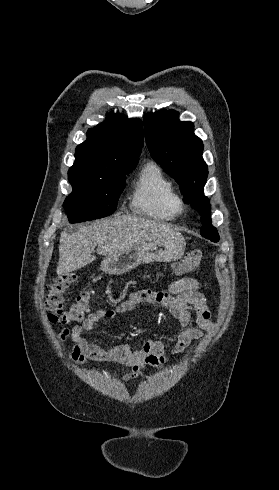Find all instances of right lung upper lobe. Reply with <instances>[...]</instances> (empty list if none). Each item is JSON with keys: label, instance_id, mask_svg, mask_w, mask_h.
Instances as JSON below:
<instances>
[{"label": "right lung upper lobe", "instance_id": "right-lung-upper-lobe-1", "mask_svg": "<svg viewBox=\"0 0 279 490\" xmlns=\"http://www.w3.org/2000/svg\"><path fill=\"white\" fill-rule=\"evenodd\" d=\"M143 124L121 114L107 119L87 132V140L77 146L72 173L106 175L122 167L136 166L143 147Z\"/></svg>", "mask_w": 279, "mask_h": 490}]
</instances>
